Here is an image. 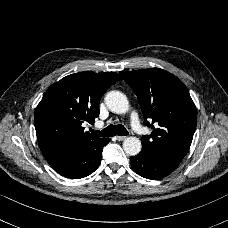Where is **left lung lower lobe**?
<instances>
[{"label": "left lung lower lobe", "instance_id": "obj_1", "mask_svg": "<svg viewBox=\"0 0 228 228\" xmlns=\"http://www.w3.org/2000/svg\"><path fill=\"white\" fill-rule=\"evenodd\" d=\"M180 160L151 156L141 151L137 156L130 157V163L136 173L147 179H160L175 170Z\"/></svg>", "mask_w": 228, "mask_h": 228}]
</instances>
